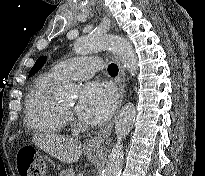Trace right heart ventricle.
<instances>
[{
	"instance_id": "e07e8e85",
	"label": "right heart ventricle",
	"mask_w": 205,
	"mask_h": 176,
	"mask_svg": "<svg viewBox=\"0 0 205 176\" xmlns=\"http://www.w3.org/2000/svg\"><path fill=\"white\" fill-rule=\"evenodd\" d=\"M61 81L49 72L32 82L25 101V122L32 131L49 135L62 133L66 116L53 97L54 89Z\"/></svg>"
}]
</instances>
